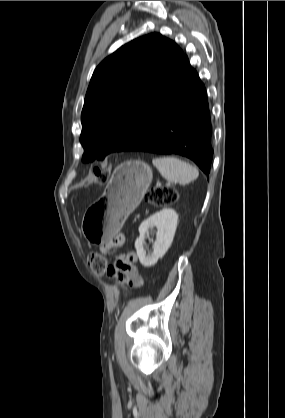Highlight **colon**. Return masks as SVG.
I'll use <instances>...</instances> for the list:
<instances>
[{"instance_id": "obj_1", "label": "colon", "mask_w": 285, "mask_h": 418, "mask_svg": "<svg viewBox=\"0 0 285 418\" xmlns=\"http://www.w3.org/2000/svg\"><path fill=\"white\" fill-rule=\"evenodd\" d=\"M93 178L100 185H104L108 180L107 172L104 169L96 168L93 172ZM146 200L153 206H164L176 203L178 194L173 189L159 185L146 193ZM107 258L108 254L105 251L94 252L88 256V262L96 273L105 274L108 271Z\"/></svg>"}]
</instances>
